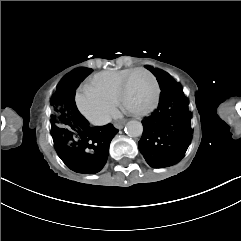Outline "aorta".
Masks as SVG:
<instances>
[{
    "label": "aorta",
    "mask_w": 241,
    "mask_h": 241,
    "mask_svg": "<svg viewBox=\"0 0 241 241\" xmlns=\"http://www.w3.org/2000/svg\"><path fill=\"white\" fill-rule=\"evenodd\" d=\"M125 132L130 137H139L143 133V125L137 120H131L126 124Z\"/></svg>",
    "instance_id": "obj_1"
}]
</instances>
